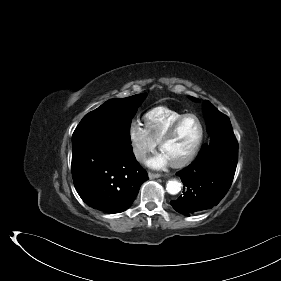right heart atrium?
I'll return each instance as SVG.
<instances>
[{
  "instance_id": "obj_1",
  "label": "right heart atrium",
  "mask_w": 281,
  "mask_h": 281,
  "mask_svg": "<svg viewBox=\"0 0 281 281\" xmlns=\"http://www.w3.org/2000/svg\"><path fill=\"white\" fill-rule=\"evenodd\" d=\"M129 139L132 147V152L135 158L139 161L152 152L157 143L151 138L146 128L138 123L133 122L129 128Z\"/></svg>"
}]
</instances>
